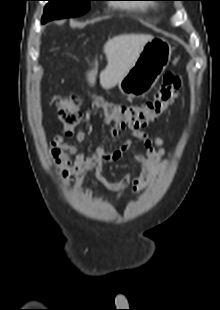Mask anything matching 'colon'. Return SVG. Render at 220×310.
<instances>
[{
  "instance_id": "obj_1",
  "label": "colon",
  "mask_w": 220,
  "mask_h": 310,
  "mask_svg": "<svg viewBox=\"0 0 220 310\" xmlns=\"http://www.w3.org/2000/svg\"><path fill=\"white\" fill-rule=\"evenodd\" d=\"M181 86L180 77L168 71L153 99L138 105H122L98 100L97 103L114 128H129L138 131L154 122L175 101ZM81 100L75 93L59 100V119L67 134H72L81 124L83 116L79 110Z\"/></svg>"
}]
</instances>
